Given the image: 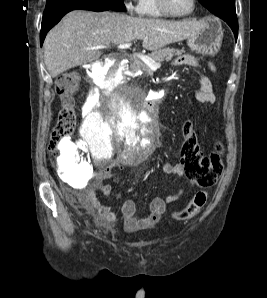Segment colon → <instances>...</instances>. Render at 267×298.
Segmentation results:
<instances>
[{"label": "colon", "mask_w": 267, "mask_h": 298, "mask_svg": "<svg viewBox=\"0 0 267 298\" xmlns=\"http://www.w3.org/2000/svg\"><path fill=\"white\" fill-rule=\"evenodd\" d=\"M79 80L75 73H64L56 81L57 92L60 97V109L57 123L51 134L50 151L54 159V165L65 176H71V172L61 167L58 158L64 148L71 150V136L76 126V110L74 95L78 91ZM182 144L180 147L181 165L186 176L203 188L190 200L186 207L174 213V219L187 220L197 215L207 201L206 188L213 186L218 180L223 169V146L218 143L213 152H202L196 132L189 120H184L181 125ZM72 152V151H71ZM78 170H82L86 164L84 158L74 156Z\"/></svg>", "instance_id": "obj_1"}]
</instances>
